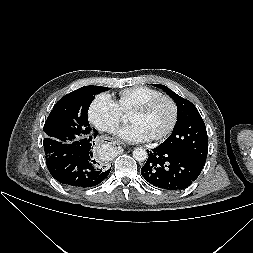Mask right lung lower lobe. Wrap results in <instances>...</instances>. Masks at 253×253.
<instances>
[{
	"instance_id": "98d812e1",
	"label": "right lung lower lobe",
	"mask_w": 253,
	"mask_h": 253,
	"mask_svg": "<svg viewBox=\"0 0 253 253\" xmlns=\"http://www.w3.org/2000/svg\"><path fill=\"white\" fill-rule=\"evenodd\" d=\"M94 130L88 138L72 143H58L45 151L46 165L61 184L72 188H87L100 184L109 175L107 163L97 154ZM112 165V164H111Z\"/></svg>"
}]
</instances>
